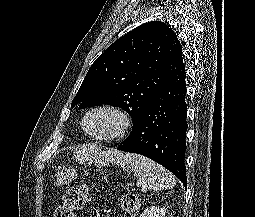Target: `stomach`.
Listing matches in <instances>:
<instances>
[{
  "label": "stomach",
  "mask_w": 255,
  "mask_h": 217,
  "mask_svg": "<svg viewBox=\"0 0 255 217\" xmlns=\"http://www.w3.org/2000/svg\"><path fill=\"white\" fill-rule=\"evenodd\" d=\"M126 171H129L131 167L127 164L124 165ZM77 176L76 170L73 168H64L57 174V185L69 183Z\"/></svg>",
  "instance_id": "obj_1"
}]
</instances>
